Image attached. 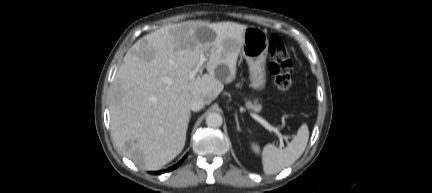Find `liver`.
Here are the masks:
<instances>
[{"label": "liver", "mask_w": 432, "mask_h": 193, "mask_svg": "<svg viewBox=\"0 0 432 193\" xmlns=\"http://www.w3.org/2000/svg\"><path fill=\"white\" fill-rule=\"evenodd\" d=\"M247 28L189 20L161 27L128 50L112 82L109 105L111 133L124 156L142 169L158 170L180 154L192 98L199 95L208 105L224 83L235 79ZM206 29L214 33L211 40L200 38ZM201 54L207 73L191 79ZM220 66L226 68L222 79L216 77Z\"/></svg>", "instance_id": "obj_1"}]
</instances>
